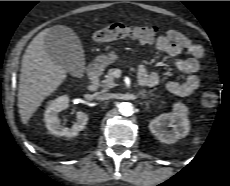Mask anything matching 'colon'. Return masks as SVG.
<instances>
[{
    "label": "colon",
    "instance_id": "colon-1",
    "mask_svg": "<svg viewBox=\"0 0 230 186\" xmlns=\"http://www.w3.org/2000/svg\"><path fill=\"white\" fill-rule=\"evenodd\" d=\"M158 33L155 26H136L122 22H114L93 33L96 42H108L119 39H137L144 44L154 42ZM217 95L213 91H205L201 95V103L205 108H213L217 104Z\"/></svg>",
    "mask_w": 230,
    "mask_h": 186
}]
</instances>
